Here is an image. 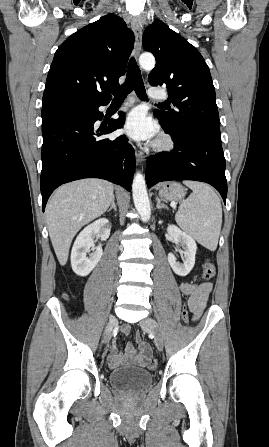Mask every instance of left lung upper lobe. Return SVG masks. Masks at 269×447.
I'll return each instance as SVG.
<instances>
[{
	"instance_id": "obj_1",
	"label": "left lung upper lobe",
	"mask_w": 269,
	"mask_h": 447,
	"mask_svg": "<svg viewBox=\"0 0 269 447\" xmlns=\"http://www.w3.org/2000/svg\"><path fill=\"white\" fill-rule=\"evenodd\" d=\"M143 47L157 64L148 80L164 86L176 110L154 114L170 131H206L220 136L215 89L201 54L166 24L155 20L143 34Z\"/></svg>"
}]
</instances>
